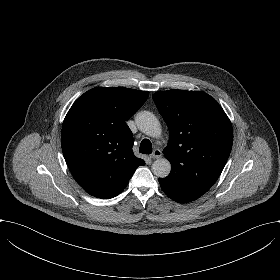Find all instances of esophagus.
I'll return each mask as SVG.
<instances>
[{
  "mask_svg": "<svg viewBox=\"0 0 280 280\" xmlns=\"http://www.w3.org/2000/svg\"><path fill=\"white\" fill-rule=\"evenodd\" d=\"M161 155H162L161 150H160V149H155V150L153 151V153L150 155V158H151V159H158V158L161 157Z\"/></svg>",
  "mask_w": 280,
  "mask_h": 280,
  "instance_id": "obj_1",
  "label": "esophagus"
}]
</instances>
